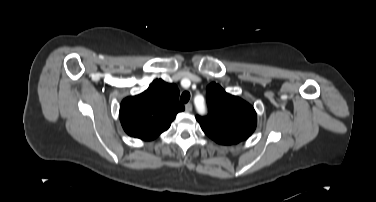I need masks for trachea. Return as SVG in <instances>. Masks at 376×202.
Here are the masks:
<instances>
[{"label": "trachea", "instance_id": "1", "mask_svg": "<svg viewBox=\"0 0 376 202\" xmlns=\"http://www.w3.org/2000/svg\"><path fill=\"white\" fill-rule=\"evenodd\" d=\"M190 99V93L189 92H183L181 97H180V101L182 103H187Z\"/></svg>", "mask_w": 376, "mask_h": 202}]
</instances>
